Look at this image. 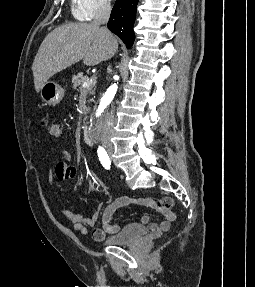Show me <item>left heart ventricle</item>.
I'll list each match as a JSON object with an SVG mask.
<instances>
[{
    "label": "left heart ventricle",
    "instance_id": "1",
    "mask_svg": "<svg viewBox=\"0 0 255 287\" xmlns=\"http://www.w3.org/2000/svg\"><path fill=\"white\" fill-rule=\"evenodd\" d=\"M93 33H103V32H93ZM91 39H103V38H91ZM88 48H100V47H88Z\"/></svg>",
    "mask_w": 255,
    "mask_h": 287
}]
</instances>
